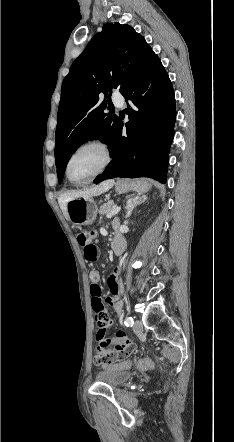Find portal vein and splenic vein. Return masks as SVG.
<instances>
[{"mask_svg": "<svg viewBox=\"0 0 234 442\" xmlns=\"http://www.w3.org/2000/svg\"><path fill=\"white\" fill-rule=\"evenodd\" d=\"M121 207H115L110 213L106 215L107 218H112L114 215L118 214Z\"/></svg>", "mask_w": 234, "mask_h": 442, "instance_id": "1", "label": "portal vein and splenic vein"}]
</instances>
